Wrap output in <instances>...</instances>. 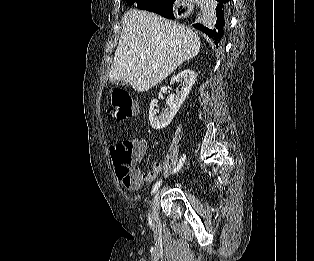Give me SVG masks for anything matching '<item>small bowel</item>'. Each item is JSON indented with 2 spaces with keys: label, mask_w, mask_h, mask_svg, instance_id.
<instances>
[{
  "label": "small bowel",
  "mask_w": 314,
  "mask_h": 261,
  "mask_svg": "<svg viewBox=\"0 0 314 261\" xmlns=\"http://www.w3.org/2000/svg\"><path fill=\"white\" fill-rule=\"evenodd\" d=\"M141 144H142V147H143V152L141 153L140 156H138L137 161H142L143 160L144 154H145V151H146L145 144L143 142H141ZM161 169H162L161 163L156 162V163L153 164L152 170L149 171V172H141L139 170H137V171L143 174V176H144L143 182H148V181L153 180L160 173Z\"/></svg>",
  "instance_id": "1"
}]
</instances>
